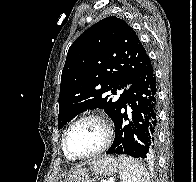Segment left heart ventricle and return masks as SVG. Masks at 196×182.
<instances>
[{
    "label": "left heart ventricle",
    "instance_id": "1",
    "mask_svg": "<svg viewBox=\"0 0 196 182\" xmlns=\"http://www.w3.org/2000/svg\"><path fill=\"white\" fill-rule=\"evenodd\" d=\"M104 133L96 121H85L76 125L68 136V148L76 155H87L103 142Z\"/></svg>",
    "mask_w": 196,
    "mask_h": 182
}]
</instances>
